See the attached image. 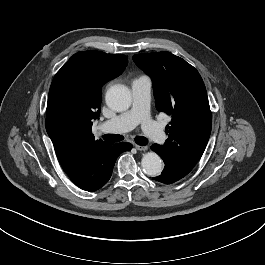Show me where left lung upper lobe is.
Returning <instances> with one entry per match:
<instances>
[{
  "label": "left lung upper lobe",
  "instance_id": "left-lung-upper-lobe-1",
  "mask_svg": "<svg viewBox=\"0 0 265 265\" xmlns=\"http://www.w3.org/2000/svg\"><path fill=\"white\" fill-rule=\"evenodd\" d=\"M153 82L156 107L172 116L168 139L161 146L164 162L187 175L201 158L210 137L212 115L198 71L170 52L133 56Z\"/></svg>",
  "mask_w": 265,
  "mask_h": 265
}]
</instances>
